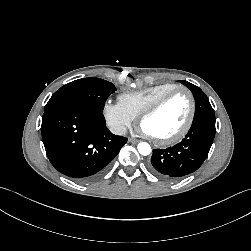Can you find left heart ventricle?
I'll list each match as a JSON object with an SVG mask.
<instances>
[{
  "mask_svg": "<svg viewBox=\"0 0 251 251\" xmlns=\"http://www.w3.org/2000/svg\"><path fill=\"white\" fill-rule=\"evenodd\" d=\"M190 111V102L184 93L169 99L154 115L145 119L142 127L150 136L167 138L177 133L185 124Z\"/></svg>",
  "mask_w": 251,
  "mask_h": 251,
  "instance_id": "1",
  "label": "left heart ventricle"
}]
</instances>
